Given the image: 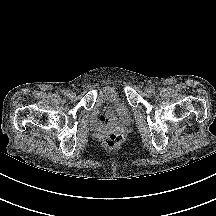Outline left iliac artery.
Wrapping results in <instances>:
<instances>
[{
	"instance_id": "1",
	"label": "left iliac artery",
	"mask_w": 216,
	"mask_h": 216,
	"mask_svg": "<svg viewBox=\"0 0 216 216\" xmlns=\"http://www.w3.org/2000/svg\"><path fill=\"white\" fill-rule=\"evenodd\" d=\"M152 91H155V87L154 86H152Z\"/></svg>"
}]
</instances>
